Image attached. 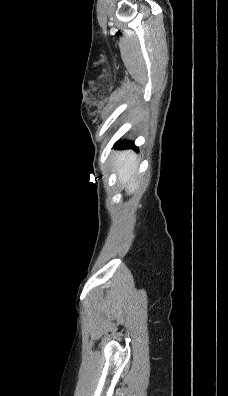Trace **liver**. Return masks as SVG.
<instances>
[{
    "instance_id": "1",
    "label": "liver",
    "mask_w": 228,
    "mask_h": 396,
    "mask_svg": "<svg viewBox=\"0 0 228 396\" xmlns=\"http://www.w3.org/2000/svg\"><path fill=\"white\" fill-rule=\"evenodd\" d=\"M114 167L118 172L119 182L128 194L133 193L138 186L135 173L138 167L137 156L132 151L117 153L114 158Z\"/></svg>"
}]
</instances>
